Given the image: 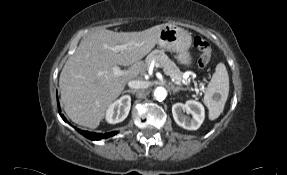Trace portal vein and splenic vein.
<instances>
[{
  "mask_svg": "<svg viewBox=\"0 0 287 175\" xmlns=\"http://www.w3.org/2000/svg\"><path fill=\"white\" fill-rule=\"evenodd\" d=\"M125 47H126V45H116V46H115V49H116V50H122V49H124ZM154 66H155L156 68H161V65H160L159 63H155ZM124 74H126V71L121 70L120 67H118V66H114V67H113V75H114V76H121V75H124ZM184 79H185V78H183V79H181V80H177V79H175V78H172V81L175 82V83L178 84V85H180L181 81H182V83L185 84V85L189 84V82L186 81V80H184ZM195 90H196V91H199V90H202V91H203V90H204V87H202V88H200V89H198L197 87H195Z\"/></svg>",
  "mask_w": 287,
  "mask_h": 175,
  "instance_id": "portal-vein-and-splenic-vein-1",
  "label": "portal vein and splenic vein"
}]
</instances>
